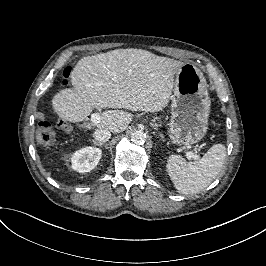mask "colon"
I'll list each match as a JSON object with an SVG mask.
<instances>
[{"label": "colon", "instance_id": "colon-1", "mask_svg": "<svg viewBox=\"0 0 266 266\" xmlns=\"http://www.w3.org/2000/svg\"><path fill=\"white\" fill-rule=\"evenodd\" d=\"M72 69L71 68H66L62 76L66 79L63 82L64 86L68 85L67 79L71 76ZM37 139L39 140L40 143L44 145H51L54 142L55 139V131L54 127L51 123L50 120L48 119H43L40 120L37 124Z\"/></svg>", "mask_w": 266, "mask_h": 266}]
</instances>
